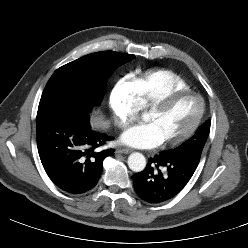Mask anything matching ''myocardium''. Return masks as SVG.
Listing matches in <instances>:
<instances>
[{"label": "myocardium", "mask_w": 248, "mask_h": 248, "mask_svg": "<svg viewBox=\"0 0 248 248\" xmlns=\"http://www.w3.org/2000/svg\"><path fill=\"white\" fill-rule=\"evenodd\" d=\"M185 96H193V97L198 99L199 112H198L194 122L192 123V125L184 133H182L180 136H178L174 139H170V140H166V141L161 142L160 145L162 147L167 148V147L178 146V145L182 144L183 142H185L186 140H188L196 132V130L200 126L202 119L204 117V114H205V109H206L205 100H204L203 96L197 92H194L191 90H176V91H171V92L163 95L162 97L158 98L157 100L153 101L145 110V114L150 113V112L163 110L167 106H169L172 102H174L175 100L182 98V97H185Z\"/></svg>", "instance_id": "1"}]
</instances>
